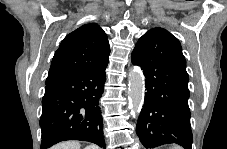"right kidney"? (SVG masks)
Masks as SVG:
<instances>
[{
	"label": "right kidney",
	"instance_id": "1",
	"mask_svg": "<svg viewBox=\"0 0 227 149\" xmlns=\"http://www.w3.org/2000/svg\"><path fill=\"white\" fill-rule=\"evenodd\" d=\"M86 149H95V148H94V145H91L89 147H86Z\"/></svg>",
	"mask_w": 227,
	"mask_h": 149
}]
</instances>
